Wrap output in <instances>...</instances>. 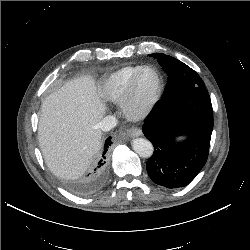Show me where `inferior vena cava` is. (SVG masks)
Instances as JSON below:
<instances>
[{"instance_id": "inferior-vena-cava-1", "label": "inferior vena cava", "mask_w": 250, "mask_h": 250, "mask_svg": "<svg viewBox=\"0 0 250 250\" xmlns=\"http://www.w3.org/2000/svg\"><path fill=\"white\" fill-rule=\"evenodd\" d=\"M117 125V119L114 116H106L104 117L98 124V127L104 131H110Z\"/></svg>"}]
</instances>
